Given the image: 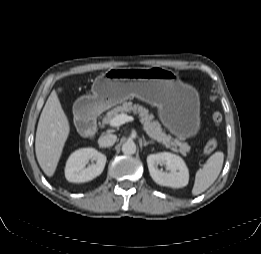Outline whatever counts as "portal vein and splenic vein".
Masks as SVG:
<instances>
[{
    "label": "portal vein and splenic vein",
    "mask_w": 261,
    "mask_h": 254,
    "mask_svg": "<svg viewBox=\"0 0 261 254\" xmlns=\"http://www.w3.org/2000/svg\"><path fill=\"white\" fill-rule=\"evenodd\" d=\"M133 120L134 118L132 116H128L127 114H119L110 120L109 125L111 127H119L122 124Z\"/></svg>",
    "instance_id": "18ae733b"
}]
</instances>
